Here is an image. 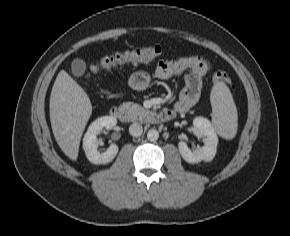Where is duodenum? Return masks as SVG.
I'll return each mask as SVG.
<instances>
[{"mask_svg":"<svg viewBox=\"0 0 290 236\" xmlns=\"http://www.w3.org/2000/svg\"><path fill=\"white\" fill-rule=\"evenodd\" d=\"M182 112L178 109L174 110H163L160 112H156L151 116V120L155 123H165L167 121L172 120L177 113ZM110 115L115 119L122 121V122H129L130 116L129 114L119 106H113L110 109Z\"/></svg>","mask_w":290,"mask_h":236,"instance_id":"410a0bca","label":"duodenum"}]
</instances>
